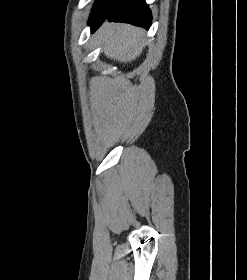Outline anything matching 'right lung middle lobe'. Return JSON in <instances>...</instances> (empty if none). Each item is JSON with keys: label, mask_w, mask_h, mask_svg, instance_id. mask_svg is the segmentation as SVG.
<instances>
[{"label": "right lung middle lobe", "mask_w": 247, "mask_h": 280, "mask_svg": "<svg viewBox=\"0 0 247 280\" xmlns=\"http://www.w3.org/2000/svg\"><path fill=\"white\" fill-rule=\"evenodd\" d=\"M113 1L114 0H97L90 16L89 22H93L101 18Z\"/></svg>", "instance_id": "obj_1"}]
</instances>
